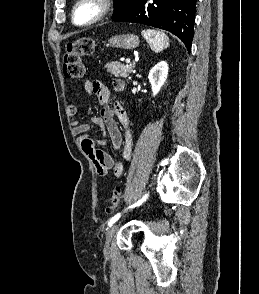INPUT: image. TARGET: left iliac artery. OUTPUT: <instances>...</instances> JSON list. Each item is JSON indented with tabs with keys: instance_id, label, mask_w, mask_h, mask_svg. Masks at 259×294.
Wrapping results in <instances>:
<instances>
[{
	"instance_id": "obj_1",
	"label": "left iliac artery",
	"mask_w": 259,
	"mask_h": 294,
	"mask_svg": "<svg viewBox=\"0 0 259 294\" xmlns=\"http://www.w3.org/2000/svg\"><path fill=\"white\" fill-rule=\"evenodd\" d=\"M148 197V193L145 194L138 202L134 203L133 205L129 206V208H134L140 206L143 202L146 201ZM121 217V213L116 214L108 221V226L111 227L119 218Z\"/></svg>"
}]
</instances>
